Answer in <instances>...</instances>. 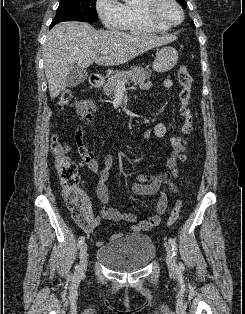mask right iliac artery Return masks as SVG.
Returning <instances> with one entry per match:
<instances>
[{
	"label": "right iliac artery",
	"instance_id": "right-iliac-artery-1",
	"mask_svg": "<svg viewBox=\"0 0 245 314\" xmlns=\"http://www.w3.org/2000/svg\"><path fill=\"white\" fill-rule=\"evenodd\" d=\"M84 241H85V237L84 236L80 237V239L78 241V247H81L82 244L84 243Z\"/></svg>",
	"mask_w": 245,
	"mask_h": 314
}]
</instances>
